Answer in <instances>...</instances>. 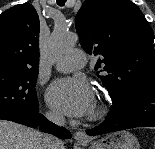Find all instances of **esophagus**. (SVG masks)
Here are the masks:
<instances>
[{"label":"esophagus","instance_id":"34e87169","mask_svg":"<svg viewBox=\"0 0 155 149\" xmlns=\"http://www.w3.org/2000/svg\"><path fill=\"white\" fill-rule=\"evenodd\" d=\"M74 139L77 142H87L88 141V137L83 131H76L74 133Z\"/></svg>","mask_w":155,"mask_h":149}]
</instances>
